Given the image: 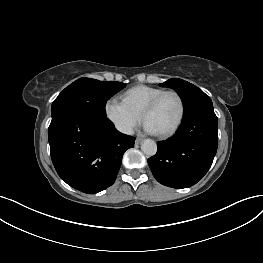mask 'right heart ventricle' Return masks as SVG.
I'll use <instances>...</instances> for the list:
<instances>
[{
  "label": "right heart ventricle",
  "instance_id": "e07e8e85",
  "mask_svg": "<svg viewBox=\"0 0 263 263\" xmlns=\"http://www.w3.org/2000/svg\"><path fill=\"white\" fill-rule=\"evenodd\" d=\"M163 91V88L138 85L125 91L122 95V101L133 112L142 116V112L147 104Z\"/></svg>",
  "mask_w": 263,
  "mask_h": 263
}]
</instances>
